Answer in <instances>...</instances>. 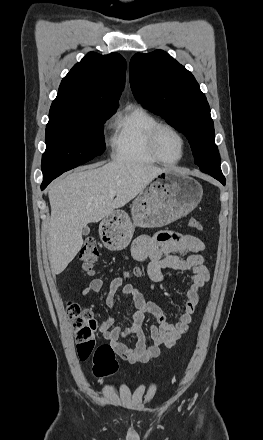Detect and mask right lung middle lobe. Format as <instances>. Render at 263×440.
<instances>
[{
	"mask_svg": "<svg viewBox=\"0 0 263 440\" xmlns=\"http://www.w3.org/2000/svg\"><path fill=\"white\" fill-rule=\"evenodd\" d=\"M115 112H91L70 117L49 118L46 150L42 156L43 179H55L101 155L106 146L103 124Z\"/></svg>",
	"mask_w": 263,
	"mask_h": 440,
	"instance_id": "right-lung-middle-lobe-1",
	"label": "right lung middle lobe"
}]
</instances>
